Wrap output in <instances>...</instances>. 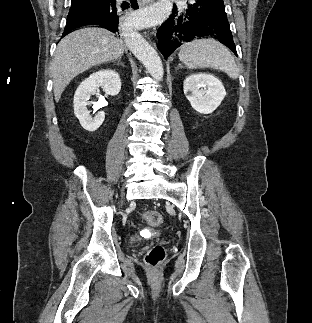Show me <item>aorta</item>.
<instances>
[{
	"mask_svg": "<svg viewBox=\"0 0 312 323\" xmlns=\"http://www.w3.org/2000/svg\"><path fill=\"white\" fill-rule=\"evenodd\" d=\"M126 46L134 54L137 60L142 62L150 76L160 82L163 78L162 62L154 48L144 40L137 30H124L123 32Z\"/></svg>",
	"mask_w": 312,
	"mask_h": 323,
	"instance_id": "obj_1",
	"label": "aorta"
}]
</instances>
